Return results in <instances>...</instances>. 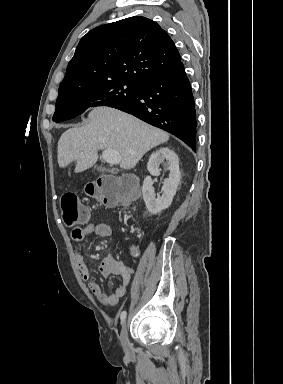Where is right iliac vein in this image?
I'll return each instance as SVG.
<instances>
[{
    "label": "right iliac vein",
    "instance_id": "1",
    "mask_svg": "<svg viewBox=\"0 0 283 384\" xmlns=\"http://www.w3.org/2000/svg\"><path fill=\"white\" fill-rule=\"evenodd\" d=\"M120 342L122 345V348L124 352L127 355L132 354V346L128 338V327H127V322L125 321L122 326L121 334H120Z\"/></svg>",
    "mask_w": 283,
    "mask_h": 384
}]
</instances>
